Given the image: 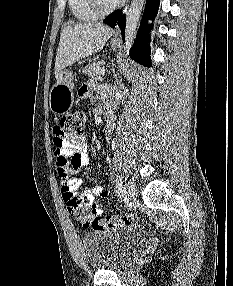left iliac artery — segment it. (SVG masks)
I'll use <instances>...</instances> for the list:
<instances>
[{"label":"left iliac artery","mask_w":233,"mask_h":286,"mask_svg":"<svg viewBox=\"0 0 233 286\" xmlns=\"http://www.w3.org/2000/svg\"><path fill=\"white\" fill-rule=\"evenodd\" d=\"M122 178L120 177V175H117L116 178V189H117V193L118 196H120L122 194V182H121Z\"/></svg>","instance_id":"44dca946"}]
</instances>
